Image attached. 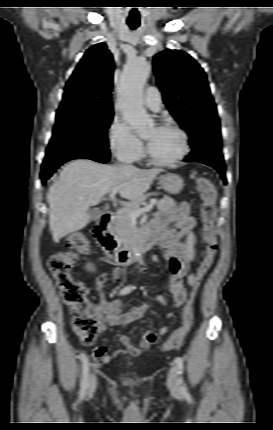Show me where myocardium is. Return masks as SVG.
<instances>
[{"instance_id": "1", "label": "myocardium", "mask_w": 273, "mask_h": 430, "mask_svg": "<svg viewBox=\"0 0 273 430\" xmlns=\"http://www.w3.org/2000/svg\"><path fill=\"white\" fill-rule=\"evenodd\" d=\"M158 127L170 129V130L177 132L180 135L181 141H182L181 150H180V153L176 157L169 159V160H161V159L156 158L152 154L150 147H149V144H147L146 157H147L148 161L151 162L152 164L158 165V166H172V165L180 163L188 155V153L190 151L188 134L186 133V131L183 128H181L179 125L172 123V122H163Z\"/></svg>"}]
</instances>
